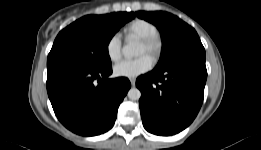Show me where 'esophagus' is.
I'll use <instances>...</instances> for the list:
<instances>
[{"instance_id": "34e87169", "label": "esophagus", "mask_w": 261, "mask_h": 150, "mask_svg": "<svg viewBox=\"0 0 261 150\" xmlns=\"http://www.w3.org/2000/svg\"><path fill=\"white\" fill-rule=\"evenodd\" d=\"M130 82H131V85L134 87L135 84H136V79L135 78H130Z\"/></svg>"}]
</instances>
